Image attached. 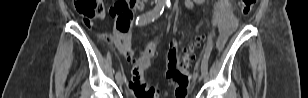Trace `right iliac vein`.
Wrapping results in <instances>:
<instances>
[{
	"label": "right iliac vein",
	"mask_w": 308,
	"mask_h": 98,
	"mask_svg": "<svg viewBox=\"0 0 308 98\" xmlns=\"http://www.w3.org/2000/svg\"><path fill=\"white\" fill-rule=\"evenodd\" d=\"M116 81L119 85L123 84V76L120 74L117 78Z\"/></svg>",
	"instance_id": "63e3f726"
}]
</instances>
